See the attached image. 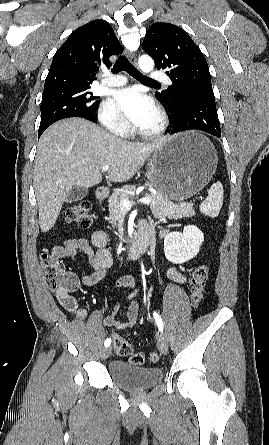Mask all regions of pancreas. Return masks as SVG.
<instances>
[{
  "instance_id": "cf45deb5",
  "label": "pancreas",
  "mask_w": 269,
  "mask_h": 445,
  "mask_svg": "<svg viewBox=\"0 0 269 445\" xmlns=\"http://www.w3.org/2000/svg\"><path fill=\"white\" fill-rule=\"evenodd\" d=\"M135 189V186H124L121 191L114 192L108 202H109V218L113 227L117 226V222L121 219V200L130 199L131 195L128 191ZM145 197L151 198L153 201L150 203V209L152 214L157 219H163L168 217L169 219H179L184 217H192L195 215L192 203L181 202L178 204L169 201L167 198L160 194H149L147 193Z\"/></svg>"
}]
</instances>
